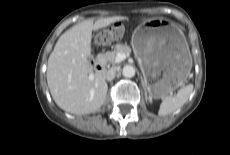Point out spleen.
Wrapping results in <instances>:
<instances>
[{
	"instance_id": "3e777b00",
	"label": "spleen",
	"mask_w": 230,
	"mask_h": 155,
	"mask_svg": "<svg viewBox=\"0 0 230 155\" xmlns=\"http://www.w3.org/2000/svg\"><path fill=\"white\" fill-rule=\"evenodd\" d=\"M193 91V85L189 84L178 90L175 96H167L161 103L158 114L165 116L181 108Z\"/></svg>"
}]
</instances>
